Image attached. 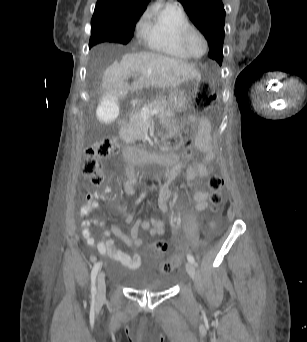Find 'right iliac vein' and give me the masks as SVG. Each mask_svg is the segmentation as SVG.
<instances>
[{
	"label": "right iliac vein",
	"mask_w": 307,
	"mask_h": 342,
	"mask_svg": "<svg viewBox=\"0 0 307 342\" xmlns=\"http://www.w3.org/2000/svg\"><path fill=\"white\" fill-rule=\"evenodd\" d=\"M106 294L105 272L99 273L97 278V298L104 299Z\"/></svg>",
	"instance_id": "63e3f726"
}]
</instances>
